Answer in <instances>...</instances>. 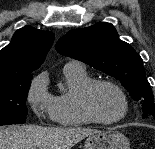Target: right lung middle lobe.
<instances>
[{"mask_svg": "<svg viewBox=\"0 0 155 149\" xmlns=\"http://www.w3.org/2000/svg\"><path fill=\"white\" fill-rule=\"evenodd\" d=\"M32 78V74L0 77V126L25 123Z\"/></svg>", "mask_w": 155, "mask_h": 149, "instance_id": "1", "label": "right lung middle lobe"}]
</instances>
